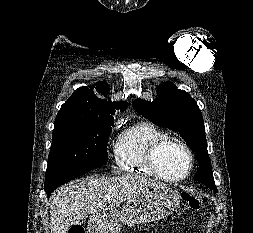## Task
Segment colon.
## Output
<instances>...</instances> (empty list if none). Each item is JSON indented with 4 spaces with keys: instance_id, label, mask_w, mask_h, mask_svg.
<instances>
[{
    "instance_id": "5ec220e1",
    "label": "colon",
    "mask_w": 253,
    "mask_h": 233,
    "mask_svg": "<svg viewBox=\"0 0 253 233\" xmlns=\"http://www.w3.org/2000/svg\"><path fill=\"white\" fill-rule=\"evenodd\" d=\"M183 199L192 210H199L205 204V198L198 194L184 193ZM68 233H84V228L81 225H74L69 229Z\"/></svg>"
}]
</instances>
